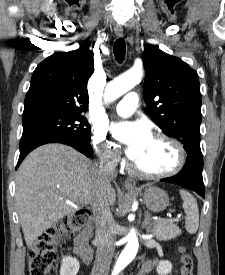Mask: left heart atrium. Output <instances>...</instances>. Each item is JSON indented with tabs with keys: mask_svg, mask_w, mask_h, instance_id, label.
<instances>
[{
	"mask_svg": "<svg viewBox=\"0 0 225 275\" xmlns=\"http://www.w3.org/2000/svg\"><path fill=\"white\" fill-rule=\"evenodd\" d=\"M114 137L125 146L127 156L136 161L152 138L149 128L143 122L124 121L111 127Z\"/></svg>",
	"mask_w": 225,
	"mask_h": 275,
	"instance_id": "39dd6f15",
	"label": "left heart atrium"
}]
</instances>
